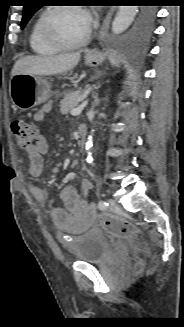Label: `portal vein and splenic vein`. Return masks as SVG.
<instances>
[{
  "mask_svg": "<svg viewBox=\"0 0 184 327\" xmlns=\"http://www.w3.org/2000/svg\"><path fill=\"white\" fill-rule=\"evenodd\" d=\"M87 103H88V101L86 100L79 107L72 109L71 115H73V116L79 115L82 112V110L84 109V107L87 105Z\"/></svg>",
  "mask_w": 184,
  "mask_h": 327,
  "instance_id": "18ae733b",
  "label": "portal vein and splenic vein"
}]
</instances>
